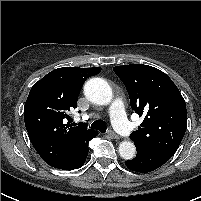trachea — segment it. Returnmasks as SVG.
<instances>
[{
	"instance_id": "1",
	"label": "trachea",
	"mask_w": 201,
	"mask_h": 201,
	"mask_svg": "<svg viewBox=\"0 0 201 201\" xmlns=\"http://www.w3.org/2000/svg\"><path fill=\"white\" fill-rule=\"evenodd\" d=\"M92 129H96V130H99L100 132L102 133H105L106 130H107V125L100 121V120H96L94 121L91 126H90Z\"/></svg>"
}]
</instances>
